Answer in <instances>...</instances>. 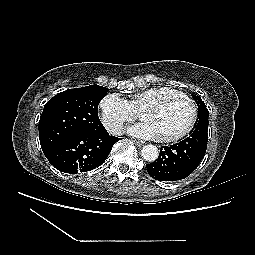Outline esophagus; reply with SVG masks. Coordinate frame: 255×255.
<instances>
[{
	"instance_id": "obj_1",
	"label": "esophagus",
	"mask_w": 255,
	"mask_h": 255,
	"mask_svg": "<svg viewBox=\"0 0 255 255\" xmlns=\"http://www.w3.org/2000/svg\"><path fill=\"white\" fill-rule=\"evenodd\" d=\"M132 142H133L136 146H138V147H141V146L143 145L141 142H139V141H137V140H132Z\"/></svg>"
}]
</instances>
